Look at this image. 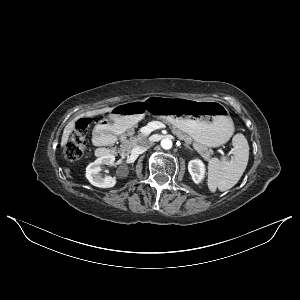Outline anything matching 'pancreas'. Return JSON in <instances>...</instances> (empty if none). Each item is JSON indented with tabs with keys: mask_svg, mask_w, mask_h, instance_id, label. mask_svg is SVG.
I'll return each instance as SVG.
<instances>
[{
	"mask_svg": "<svg viewBox=\"0 0 300 300\" xmlns=\"http://www.w3.org/2000/svg\"><path fill=\"white\" fill-rule=\"evenodd\" d=\"M173 133L181 140H184L188 144H192L195 150L205 159L209 160L213 151L208 149L205 145H202L196 141H194L190 136L182 133L180 130L175 127L172 128ZM129 137V138H128ZM145 135L139 133L138 135H134V128H131L127 131V133L123 134L120 137L121 146L120 152L124 154L125 152H129L134 146L139 144L143 139H145Z\"/></svg>",
	"mask_w": 300,
	"mask_h": 300,
	"instance_id": "1",
	"label": "pancreas"
}]
</instances>
